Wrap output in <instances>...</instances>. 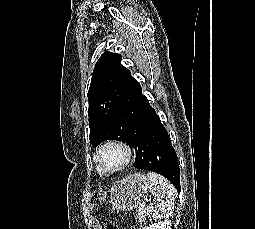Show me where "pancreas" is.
Segmentation results:
<instances>
[{"instance_id":"pancreas-1","label":"pancreas","mask_w":255,"mask_h":229,"mask_svg":"<svg viewBox=\"0 0 255 229\" xmlns=\"http://www.w3.org/2000/svg\"><path fill=\"white\" fill-rule=\"evenodd\" d=\"M137 219H138V222H140V223L145 221L146 218H145V210L144 209H142L138 212Z\"/></svg>"}]
</instances>
